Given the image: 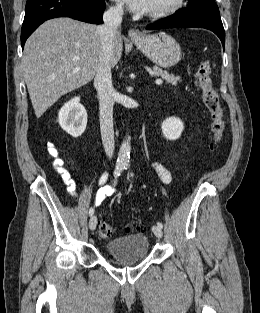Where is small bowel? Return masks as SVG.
<instances>
[{
	"label": "small bowel",
	"mask_w": 260,
	"mask_h": 313,
	"mask_svg": "<svg viewBox=\"0 0 260 313\" xmlns=\"http://www.w3.org/2000/svg\"><path fill=\"white\" fill-rule=\"evenodd\" d=\"M49 153L52 157H54L55 159L54 163L59 169L62 180L67 185L69 193L72 196H78L76 192V183L73 180L70 172L62 167L63 160L59 157V152L57 151V149H55L51 145L49 147ZM153 169L164 184L171 183L172 175L170 171L168 170V168L163 163L155 162L153 164ZM107 179H108L107 173H103L102 176L100 177L99 184L102 186V188H100V190L98 191V194L96 195V198H95L96 206H100L108 196H111L115 192L114 188H111L109 186H104V184L107 182Z\"/></svg>",
	"instance_id": "1"
}]
</instances>
